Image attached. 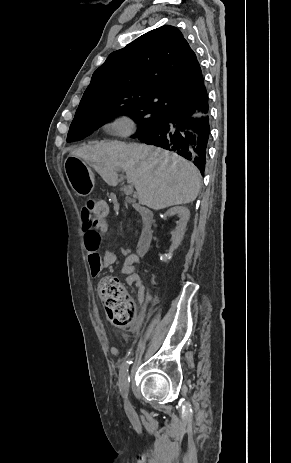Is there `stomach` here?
Returning a JSON list of instances; mask_svg holds the SVG:
<instances>
[{"mask_svg": "<svg viewBox=\"0 0 291 463\" xmlns=\"http://www.w3.org/2000/svg\"><path fill=\"white\" fill-rule=\"evenodd\" d=\"M64 169L70 184L79 196H87L95 185L94 174L85 157H69Z\"/></svg>", "mask_w": 291, "mask_h": 463, "instance_id": "stomach-1", "label": "stomach"}]
</instances>
